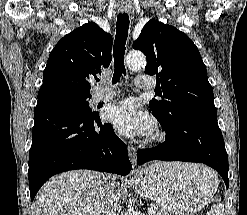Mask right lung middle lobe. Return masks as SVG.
I'll use <instances>...</instances> for the list:
<instances>
[{
  "label": "right lung middle lobe",
  "instance_id": "obj_1",
  "mask_svg": "<svg viewBox=\"0 0 247 215\" xmlns=\"http://www.w3.org/2000/svg\"><path fill=\"white\" fill-rule=\"evenodd\" d=\"M38 96H46L84 114H96V112H92L88 104V99L91 98V95L64 88H48L40 90Z\"/></svg>",
  "mask_w": 247,
  "mask_h": 215
}]
</instances>
